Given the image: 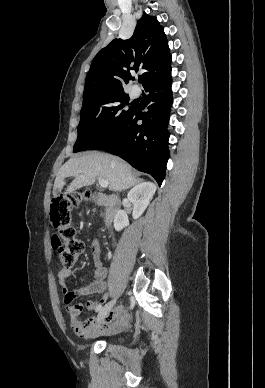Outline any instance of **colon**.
<instances>
[{"mask_svg": "<svg viewBox=\"0 0 265 388\" xmlns=\"http://www.w3.org/2000/svg\"><path fill=\"white\" fill-rule=\"evenodd\" d=\"M84 197H92L86 191ZM82 196L77 193H65L55 197L51 203L50 220L56 230L53 237V249L63 268H71L77 262L83 250V243L76 238L75 230L70 224L71 210L79 204Z\"/></svg>", "mask_w": 265, "mask_h": 388, "instance_id": "1", "label": "colon"}]
</instances>
